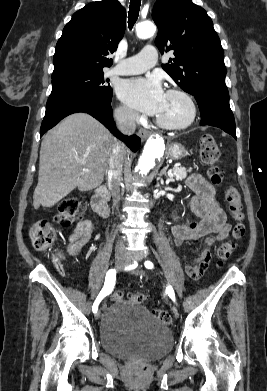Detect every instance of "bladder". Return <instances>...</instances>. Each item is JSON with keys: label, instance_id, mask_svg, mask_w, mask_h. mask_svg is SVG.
<instances>
[{"label": "bladder", "instance_id": "obj_1", "mask_svg": "<svg viewBox=\"0 0 267 391\" xmlns=\"http://www.w3.org/2000/svg\"><path fill=\"white\" fill-rule=\"evenodd\" d=\"M102 349L124 359L155 360L172 348L169 328L142 304L119 300L104 312L100 324Z\"/></svg>", "mask_w": 267, "mask_h": 391}]
</instances>
